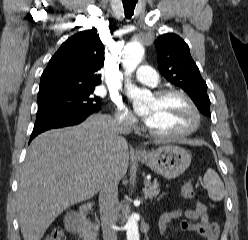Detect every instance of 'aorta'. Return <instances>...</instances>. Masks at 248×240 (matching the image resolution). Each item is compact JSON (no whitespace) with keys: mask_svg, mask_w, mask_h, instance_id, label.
<instances>
[{"mask_svg":"<svg viewBox=\"0 0 248 240\" xmlns=\"http://www.w3.org/2000/svg\"><path fill=\"white\" fill-rule=\"evenodd\" d=\"M144 52V47L138 42L130 43L124 48L122 62L127 76H130L141 63ZM125 89L127 96L133 101L135 107L142 105L144 101L151 97V93L148 90L138 88L129 80L125 84ZM125 227L127 240H140L138 220L135 216L129 217Z\"/></svg>","mask_w":248,"mask_h":240,"instance_id":"1","label":"aorta"}]
</instances>
